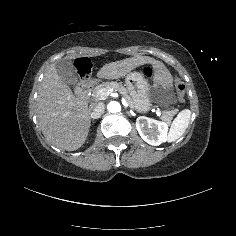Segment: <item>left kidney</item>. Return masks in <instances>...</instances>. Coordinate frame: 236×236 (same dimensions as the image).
Returning <instances> with one entry per match:
<instances>
[{"mask_svg":"<svg viewBox=\"0 0 236 236\" xmlns=\"http://www.w3.org/2000/svg\"><path fill=\"white\" fill-rule=\"evenodd\" d=\"M136 129L141 138L150 145L158 146L166 141L168 125L165 122L140 116L136 119Z\"/></svg>","mask_w":236,"mask_h":236,"instance_id":"5707ae66","label":"left kidney"}]
</instances>
